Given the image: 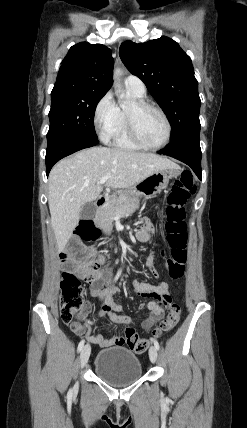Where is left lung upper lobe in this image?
Here are the masks:
<instances>
[{"label": "left lung upper lobe", "mask_w": 247, "mask_h": 428, "mask_svg": "<svg viewBox=\"0 0 247 428\" xmlns=\"http://www.w3.org/2000/svg\"><path fill=\"white\" fill-rule=\"evenodd\" d=\"M119 55L168 116L173 130L171 144L199 137L198 82L191 59L178 43L165 36L139 44L125 41Z\"/></svg>", "instance_id": "left-lung-upper-lobe-1"}]
</instances>
